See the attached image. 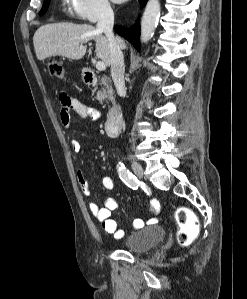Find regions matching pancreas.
I'll return each instance as SVG.
<instances>
[{
	"label": "pancreas",
	"instance_id": "1",
	"mask_svg": "<svg viewBox=\"0 0 247 299\" xmlns=\"http://www.w3.org/2000/svg\"><path fill=\"white\" fill-rule=\"evenodd\" d=\"M99 84L103 87L101 90L97 91L96 99L102 103L103 101L112 100L113 96V89L108 79L102 78L99 80Z\"/></svg>",
	"mask_w": 247,
	"mask_h": 299
}]
</instances>
